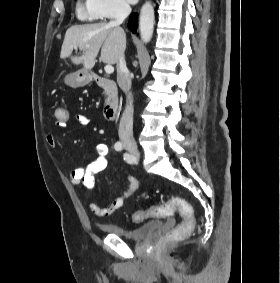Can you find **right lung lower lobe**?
Masks as SVG:
<instances>
[{
	"label": "right lung lower lobe",
	"instance_id": "obj_1",
	"mask_svg": "<svg viewBox=\"0 0 280 283\" xmlns=\"http://www.w3.org/2000/svg\"><path fill=\"white\" fill-rule=\"evenodd\" d=\"M137 18V14H132L128 23V28L132 31V32H136L135 31V26H137V21L135 20L134 22H132V19H136Z\"/></svg>",
	"mask_w": 280,
	"mask_h": 283
}]
</instances>
